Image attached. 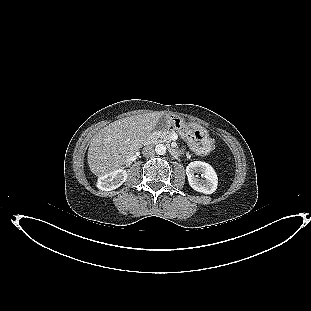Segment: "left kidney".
<instances>
[{"label": "left kidney", "instance_id": "5707ae66", "mask_svg": "<svg viewBox=\"0 0 311 311\" xmlns=\"http://www.w3.org/2000/svg\"><path fill=\"white\" fill-rule=\"evenodd\" d=\"M196 172H201L204 179H199L194 175ZM186 174L189 185L197 192L204 194H212L217 189L218 177L211 165L202 161H194L186 167Z\"/></svg>", "mask_w": 311, "mask_h": 311}]
</instances>
